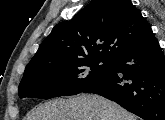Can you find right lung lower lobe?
Masks as SVG:
<instances>
[{"label":"right lung lower lobe","instance_id":"98d812e1","mask_svg":"<svg viewBox=\"0 0 165 120\" xmlns=\"http://www.w3.org/2000/svg\"><path fill=\"white\" fill-rule=\"evenodd\" d=\"M110 73L86 87L144 120H165V57L152 35L113 61Z\"/></svg>","mask_w":165,"mask_h":120}]
</instances>
